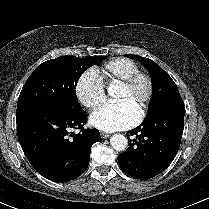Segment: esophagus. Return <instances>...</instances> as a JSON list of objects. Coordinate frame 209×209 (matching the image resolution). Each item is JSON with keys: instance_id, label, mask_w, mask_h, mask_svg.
Segmentation results:
<instances>
[{"instance_id": "esophagus-1", "label": "esophagus", "mask_w": 209, "mask_h": 209, "mask_svg": "<svg viewBox=\"0 0 209 209\" xmlns=\"http://www.w3.org/2000/svg\"><path fill=\"white\" fill-rule=\"evenodd\" d=\"M100 135H101L102 139H107L108 137H110V134L104 133V132H100Z\"/></svg>"}]
</instances>
